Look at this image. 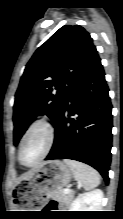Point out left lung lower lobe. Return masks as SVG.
Returning a JSON list of instances; mask_svg holds the SVG:
<instances>
[{"instance_id":"left-lung-lower-lobe-1","label":"left lung lower lobe","mask_w":123,"mask_h":219,"mask_svg":"<svg viewBox=\"0 0 123 219\" xmlns=\"http://www.w3.org/2000/svg\"><path fill=\"white\" fill-rule=\"evenodd\" d=\"M108 92L97 56L73 84L54 125V144L45 160L65 158L86 163L108 183L112 147V105Z\"/></svg>"}]
</instances>
